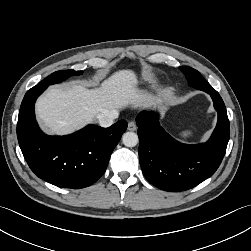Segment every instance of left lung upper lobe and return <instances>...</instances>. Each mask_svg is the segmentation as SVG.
Masks as SVG:
<instances>
[{
    "label": "left lung upper lobe",
    "mask_w": 251,
    "mask_h": 251,
    "mask_svg": "<svg viewBox=\"0 0 251 251\" xmlns=\"http://www.w3.org/2000/svg\"><path fill=\"white\" fill-rule=\"evenodd\" d=\"M179 69L186 75V78L192 87L197 88L199 85H205L207 83L197 70L188 66H181Z\"/></svg>",
    "instance_id": "left-lung-upper-lobe-1"
}]
</instances>
